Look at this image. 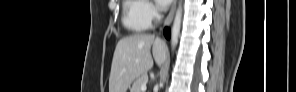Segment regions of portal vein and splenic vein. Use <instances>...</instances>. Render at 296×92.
I'll return each mask as SVG.
<instances>
[{"label": "portal vein and splenic vein", "mask_w": 296, "mask_h": 92, "mask_svg": "<svg viewBox=\"0 0 296 92\" xmlns=\"http://www.w3.org/2000/svg\"><path fill=\"white\" fill-rule=\"evenodd\" d=\"M146 89H147V88H146V85H142V86H141V92H145Z\"/></svg>", "instance_id": "portal-vein-and-splenic-vein-1"}]
</instances>
